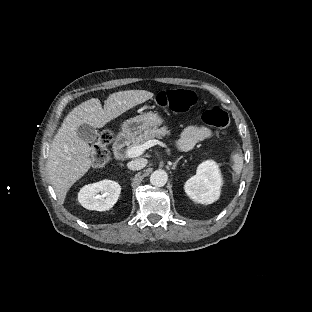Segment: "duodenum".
<instances>
[{"label": "duodenum", "instance_id": "duodenum-1", "mask_svg": "<svg viewBox=\"0 0 312 312\" xmlns=\"http://www.w3.org/2000/svg\"><path fill=\"white\" fill-rule=\"evenodd\" d=\"M132 137L133 134L130 131H123L117 136L114 144V157L116 160L120 161L125 157V149Z\"/></svg>", "mask_w": 312, "mask_h": 312}]
</instances>
